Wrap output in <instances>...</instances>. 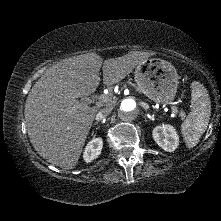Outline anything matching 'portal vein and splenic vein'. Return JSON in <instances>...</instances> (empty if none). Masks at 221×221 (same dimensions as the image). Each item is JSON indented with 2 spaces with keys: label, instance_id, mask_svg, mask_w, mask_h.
I'll use <instances>...</instances> for the list:
<instances>
[{
  "label": "portal vein and splenic vein",
  "instance_id": "portal-vein-and-splenic-vein-1",
  "mask_svg": "<svg viewBox=\"0 0 221 221\" xmlns=\"http://www.w3.org/2000/svg\"><path fill=\"white\" fill-rule=\"evenodd\" d=\"M99 102H108V98L105 94L99 96ZM171 110L173 113H178V110L175 106H171Z\"/></svg>",
  "mask_w": 221,
  "mask_h": 221
}]
</instances>
